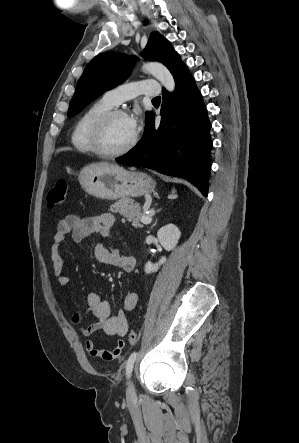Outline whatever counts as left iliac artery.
<instances>
[{
	"label": "left iliac artery",
	"mask_w": 299,
	"mask_h": 443,
	"mask_svg": "<svg viewBox=\"0 0 299 443\" xmlns=\"http://www.w3.org/2000/svg\"><path fill=\"white\" fill-rule=\"evenodd\" d=\"M136 357H137V352H133L129 356V358H128L127 362H126V375H127V378H129L130 375H131V372L133 370V366H134V362L136 360Z\"/></svg>",
	"instance_id": "left-iliac-artery-1"
}]
</instances>
